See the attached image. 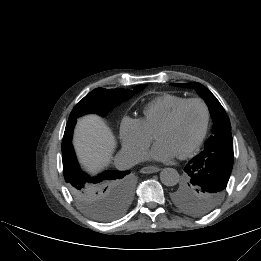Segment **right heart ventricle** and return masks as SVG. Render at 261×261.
I'll use <instances>...</instances> for the list:
<instances>
[{
  "label": "right heart ventricle",
  "instance_id": "obj_1",
  "mask_svg": "<svg viewBox=\"0 0 261 261\" xmlns=\"http://www.w3.org/2000/svg\"><path fill=\"white\" fill-rule=\"evenodd\" d=\"M188 98L182 95L164 93L145 105L140 121L154 135L172 112Z\"/></svg>",
  "mask_w": 261,
  "mask_h": 261
}]
</instances>
